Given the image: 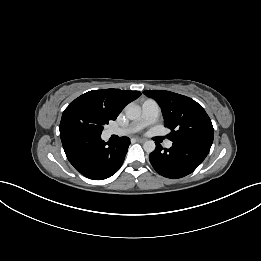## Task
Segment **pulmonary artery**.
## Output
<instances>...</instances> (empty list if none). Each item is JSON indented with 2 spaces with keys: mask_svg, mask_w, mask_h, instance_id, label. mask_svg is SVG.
I'll return each mask as SVG.
<instances>
[{
  "mask_svg": "<svg viewBox=\"0 0 261 261\" xmlns=\"http://www.w3.org/2000/svg\"><path fill=\"white\" fill-rule=\"evenodd\" d=\"M158 114V103L153 99H147L142 103V116L139 120L123 128H111L108 130V134L122 136L134 133L144 126L154 123L158 117ZM165 146L170 148L172 146V141H167Z\"/></svg>",
  "mask_w": 261,
  "mask_h": 261,
  "instance_id": "1",
  "label": "pulmonary artery"
}]
</instances>
